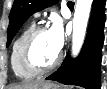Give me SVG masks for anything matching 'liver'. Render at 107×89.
Returning <instances> with one entry per match:
<instances>
[{
    "mask_svg": "<svg viewBox=\"0 0 107 89\" xmlns=\"http://www.w3.org/2000/svg\"><path fill=\"white\" fill-rule=\"evenodd\" d=\"M49 83H41V82H24L19 85H12L10 86V89H40L43 85H46Z\"/></svg>",
    "mask_w": 107,
    "mask_h": 89,
    "instance_id": "obj_1",
    "label": "liver"
}]
</instances>
